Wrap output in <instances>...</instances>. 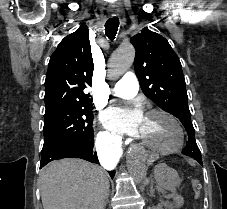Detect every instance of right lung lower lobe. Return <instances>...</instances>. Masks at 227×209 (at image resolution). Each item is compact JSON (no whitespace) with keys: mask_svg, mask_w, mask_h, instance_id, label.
Returning <instances> with one entry per match:
<instances>
[{"mask_svg":"<svg viewBox=\"0 0 227 209\" xmlns=\"http://www.w3.org/2000/svg\"><path fill=\"white\" fill-rule=\"evenodd\" d=\"M93 138H80L65 141L52 147L42 149L40 168L50 161L62 158H81L92 163H98L97 154L93 151ZM115 172H110L113 178Z\"/></svg>","mask_w":227,"mask_h":209,"instance_id":"obj_1","label":"right lung lower lobe"}]
</instances>
